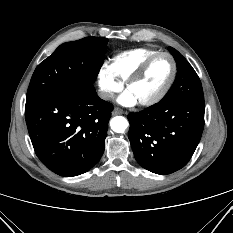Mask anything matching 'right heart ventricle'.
Masks as SVG:
<instances>
[{
	"label": "right heart ventricle",
	"instance_id": "right-heart-ventricle-1",
	"mask_svg": "<svg viewBox=\"0 0 233 233\" xmlns=\"http://www.w3.org/2000/svg\"><path fill=\"white\" fill-rule=\"evenodd\" d=\"M158 52L151 48L125 51L111 59L109 68L122 83H125L145 60Z\"/></svg>",
	"mask_w": 233,
	"mask_h": 233
}]
</instances>
